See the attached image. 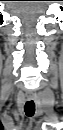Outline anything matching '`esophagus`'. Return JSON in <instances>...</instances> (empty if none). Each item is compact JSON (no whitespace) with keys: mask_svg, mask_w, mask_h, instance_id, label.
<instances>
[{"mask_svg":"<svg viewBox=\"0 0 63 130\" xmlns=\"http://www.w3.org/2000/svg\"><path fill=\"white\" fill-rule=\"evenodd\" d=\"M27 99L28 100H33L34 99V94H32V93L27 94Z\"/></svg>","mask_w":63,"mask_h":130,"instance_id":"esophagus-1","label":"esophagus"}]
</instances>
